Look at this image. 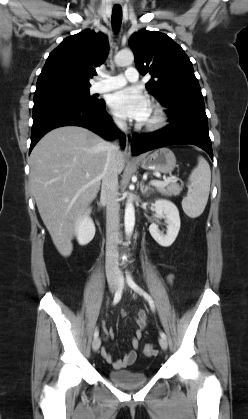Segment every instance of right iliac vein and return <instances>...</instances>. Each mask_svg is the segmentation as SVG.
Returning <instances> with one entry per match:
<instances>
[{
    "label": "right iliac vein",
    "instance_id": "1",
    "mask_svg": "<svg viewBox=\"0 0 248 419\" xmlns=\"http://www.w3.org/2000/svg\"><path fill=\"white\" fill-rule=\"evenodd\" d=\"M108 285H109L110 291L115 292L116 289H117V285H118L117 279L116 278H109L108 279ZM100 345H101L100 338H98V337L94 338V340L92 342V349L94 351H98V349L100 348Z\"/></svg>",
    "mask_w": 248,
    "mask_h": 419
}]
</instances>
